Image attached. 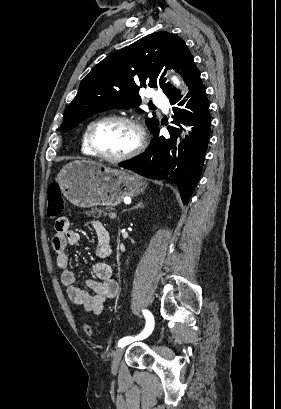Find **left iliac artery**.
Instances as JSON below:
<instances>
[{
    "label": "left iliac artery",
    "mask_w": 281,
    "mask_h": 409,
    "mask_svg": "<svg viewBox=\"0 0 281 409\" xmlns=\"http://www.w3.org/2000/svg\"><path fill=\"white\" fill-rule=\"evenodd\" d=\"M143 314L145 316L146 319V326L144 328V330L136 337H124L122 339L119 340L118 342V346L119 347H124L125 345L131 343L134 340H140V339H144L146 337H148L153 328H154V318L153 315L148 311V310H143Z\"/></svg>",
    "instance_id": "left-iliac-artery-1"
}]
</instances>
